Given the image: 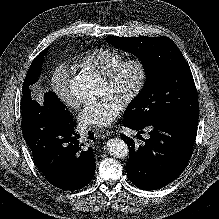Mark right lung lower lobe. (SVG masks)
Masks as SVG:
<instances>
[{"label": "right lung lower lobe", "mask_w": 219, "mask_h": 219, "mask_svg": "<svg viewBox=\"0 0 219 219\" xmlns=\"http://www.w3.org/2000/svg\"><path fill=\"white\" fill-rule=\"evenodd\" d=\"M23 137L47 181L63 190H78L93 178L96 163L91 147L80 138L71 116L39 105L30 89L21 99ZM88 139L94 135L88 133Z\"/></svg>", "instance_id": "obj_1"}]
</instances>
